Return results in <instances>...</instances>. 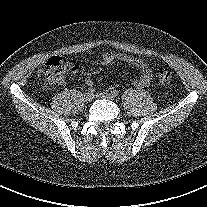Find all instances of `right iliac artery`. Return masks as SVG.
Returning <instances> with one entry per match:
<instances>
[{"label": "right iliac artery", "instance_id": "obj_1", "mask_svg": "<svg viewBox=\"0 0 207 207\" xmlns=\"http://www.w3.org/2000/svg\"><path fill=\"white\" fill-rule=\"evenodd\" d=\"M88 92L93 94L95 92V88L94 87H89Z\"/></svg>", "mask_w": 207, "mask_h": 207}]
</instances>
